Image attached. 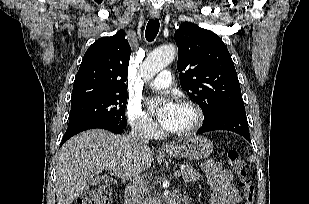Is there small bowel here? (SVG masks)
I'll return each instance as SVG.
<instances>
[{"instance_id":"small-bowel-1","label":"small bowel","mask_w":309,"mask_h":204,"mask_svg":"<svg viewBox=\"0 0 309 204\" xmlns=\"http://www.w3.org/2000/svg\"><path fill=\"white\" fill-rule=\"evenodd\" d=\"M210 187L213 190L212 204H239L241 195L233 184V173L221 167L216 161L203 165Z\"/></svg>"}]
</instances>
